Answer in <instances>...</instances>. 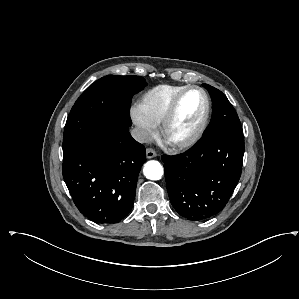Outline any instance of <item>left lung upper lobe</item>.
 <instances>
[{"mask_svg":"<svg viewBox=\"0 0 299 299\" xmlns=\"http://www.w3.org/2000/svg\"><path fill=\"white\" fill-rule=\"evenodd\" d=\"M212 99V117L209 126L203 136L219 132H235L243 134L240 120L232 104L218 89L203 84Z\"/></svg>","mask_w":299,"mask_h":299,"instance_id":"1","label":"left lung upper lobe"}]
</instances>
